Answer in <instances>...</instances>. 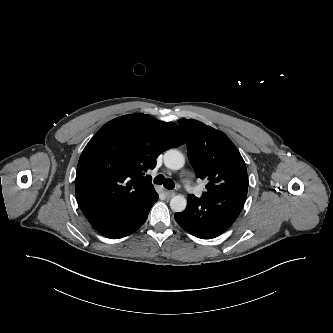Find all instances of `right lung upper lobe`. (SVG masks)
I'll return each instance as SVG.
<instances>
[{
    "mask_svg": "<svg viewBox=\"0 0 333 333\" xmlns=\"http://www.w3.org/2000/svg\"><path fill=\"white\" fill-rule=\"evenodd\" d=\"M185 140L176 124L141 113L106 123L77 165L75 190L83 214L124 212L152 200L158 194L146 172L162 152Z\"/></svg>",
    "mask_w": 333,
    "mask_h": 333,
    "instance_id": "1",
    "label": "right lung upper lobe"
}]
</instances>
